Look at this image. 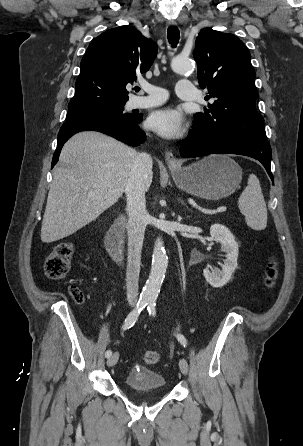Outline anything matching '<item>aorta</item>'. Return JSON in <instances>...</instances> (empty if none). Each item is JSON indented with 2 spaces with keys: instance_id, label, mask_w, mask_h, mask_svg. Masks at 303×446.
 Wrapping results in <instances>:
<instances>
[{
  "instance_id": "obj_1",
  "label": "aorta",
  "mask_w": 303,
  "mask_h": 446,
  "mask_svg": "<svg viewBox=\"0 0 303 446\" xmlns=\"http://www.w3.org/2000/svg\"><path fill=\"white\" fill-rule=\"evenodd\" d=\"M174 72L184 74L193 71L194 65L189 59L176 57L172 61ZM168 266V257L165 251L163 240L158 238L154 244L152 265L149 278L147 279L142 291V298L145 301H155L160 292L166 269Z\"/></svg>"
}]
</instances>
